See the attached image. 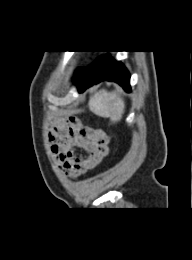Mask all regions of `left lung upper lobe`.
<instances>
[{
	"mask_svg": "<svg viewBox=\"0 0 192 260\" xmlns=\"http://www.w3.org/2000/svg\"><path fill=\"white\" fill-rule=\"evenodd\" d=\"M84 74H83V69L79 70L76 72V76L74 78V82L77 84H79L80 80L83 78Z\"/></svg>",
	"mask_w": 192,
	"mask_h": 260,
	"instance_id": "5c2ea615",
	"label": "left lung upper lobe"
}]
</instances>
